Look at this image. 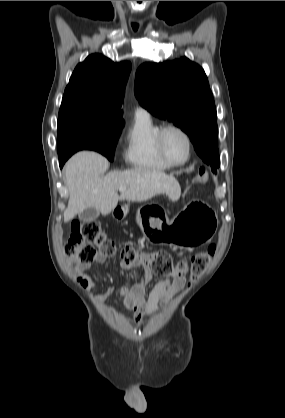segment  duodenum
<instances>
[{
	"instance_id": "410a0bca",
	"label": "duodenum",
	"mask_w": 285,
	"mask_h": 418,
	"mask_svg": "<svg viewBox=\"0 0 285 418\" xmlns=\"http://www.w3.org/2000/svg\"><path fill=\"white\" fill-rule=\"evenodd\" d=\"M113 214L117 220H121L123 218V214L118 212V208L113 209Z\"/></svg>"
}]
</instances>
